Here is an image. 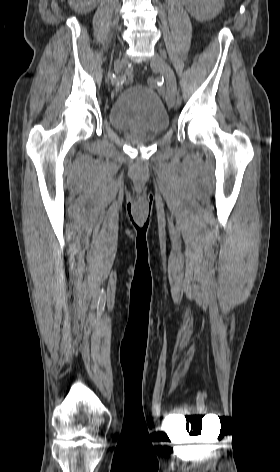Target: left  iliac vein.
I'll use <instances>...</instances> for the list:
<instances>
[{
    "instance_id": "left-iliac-vein-1",
    "label": "left iliac vein",
    "mask_w": 280,
    "mask_h": 472,
    "mask_svg": "<svg viewBox=\"0 0 280 472\" xmlns=\"http://www.w3.org/2000/svg\"><path fill=\"white\" fill-rule=\"evenodd\" d=\"M151 66L157 69L164 76L167 84L166 102L167 105L172 108L175 104L177 93L175 74L165 59L157 53L151 59Z\"/></svg>"
}]
</instances>
